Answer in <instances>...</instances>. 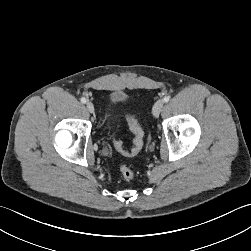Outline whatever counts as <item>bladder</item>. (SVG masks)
I'll use <instances>...</instances> for the list:
<instances>
[{
    "label": "bladder",
    "mask_w": 251,
    "mask_h": 251,
    "mask_svg": "<svg viewBox=\"0 0 251 251\" xmlns=\"http://www.w3.org/2000/svg\"><path fill=\"white\" fill-rule=\"evenodd\" d=\"M125 100H126L125 94L120 91H114L108 96L105 105V117H104L106 128H109L113 124L116 116V109L120 104L125 102Z\"/></svg>",
    "instance_id": "bladder-1"
}]
</instances>
